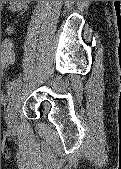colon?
Segmentation results:
<instances>
[{"instance_id": "obj_1", "label": "colon", "mask_w": 121, "mask_h": 169, "mask_svg": "<svg viewBox=\"0 0 121 169\" xmlns=\"http://www.w3.org/2000/svg\"><path fill=\"white\" fill-rule=\"evenodd\" d=\"M7 32L10 33L11 29L8 28ZM14 61L13 43L10 39H5L1 49V70L4 71Z\"/></svg>"}]
</instances>
